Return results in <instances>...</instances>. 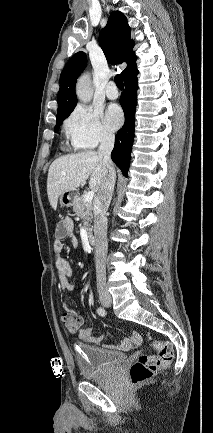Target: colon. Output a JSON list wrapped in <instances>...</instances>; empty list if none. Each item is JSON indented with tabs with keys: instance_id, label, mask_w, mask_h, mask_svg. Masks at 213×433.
<instances>
[{
	"instance_id": "5ec220e1",
	"label": "colon",
	"mask_w": 213,
	"mask_h": 433,
	"mask_svg": "<svg viewBox=\"0 0 213 433\" xmlns=\"http://www.w3.org/2000/svg\"><path fill=\"white\" fill-rule=\"evenodd\" d=\"M62 322L68 332L77 333L82 326V317L74 310L64 312ZM155 355L140 356L130 368V379L133 385H139L154 377L160 370L168 367L174 359L171 343L155 340L151 344Z\"/></svg>"
}]
</instances>
